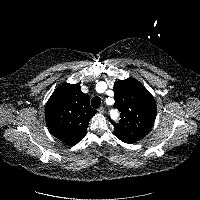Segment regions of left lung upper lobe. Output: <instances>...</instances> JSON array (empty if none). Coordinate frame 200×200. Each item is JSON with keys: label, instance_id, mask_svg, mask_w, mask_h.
Instances as JSON below:
<instances>
[{"label": "left lung upper lobe", "instance_id": "obj_1", "mask_svg": "<svg viewBox=\"0 0 200 200\" xmlns=\"http://www.w3.org/2000/svg\"><path fill=\"white\" fill-rule=\"evenodd\" d=\"M114 107L121 112V121L114 126L117 138L125 143L136 142L150 131L156 118V102L136 79L120 80L114 84Z\"/></svg>", "mask_w": 200, "mask_h": 200}]
</instances>
